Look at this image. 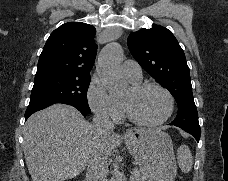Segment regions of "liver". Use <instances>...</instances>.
Masks as SVG:
<instances>
[{
    "label": "liver",
    "instance_id": "obj_1",
    "mask_svg": "<svg viewBox=\"0 0 228 181\" xmlns=\"http://www.w3.org/2000/svg\"><path fill=\"white\" fill-rule=\"evenodd\" d=\"M161 131V129H134ZM119 139L109 135L97 139L91 135V125L81 113L69 105H52L31 115L24 129V157L32 181H67L85 171L94 147L107 155Z\"/></svg>",
    "mask_w": 228,
    "mask_h": 181
}]
</instances>
